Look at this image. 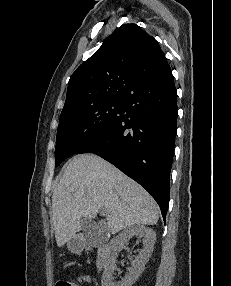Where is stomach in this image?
<instances>
[{
    "mask_svg": "<svg viewBox=\"0 0 231 286\" xmlns=\"http://www.w3.org/2000/svg\"><path fill=\"white\" fill-rule=\"evenodd\" d=\"M67 247L70 251L77 252V251H79L81 245L78 243V241L76 239L73 238L70 241H68Z\"/></svg>",
    "mask_w": 231,
    "mask_h": 286,
    "instance_id": "1",
    "label": "stomach"
}]
</instances>
